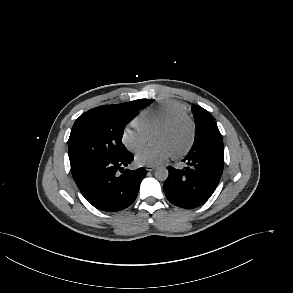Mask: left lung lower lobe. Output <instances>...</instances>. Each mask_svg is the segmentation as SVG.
I'll list each match as a JSON object with an SVG mask.
<instances>
[{
    "mask_svg": "<svg viewBox=\"0 0 293 293\" xmlns=\"http://www.w3.org/2000/svg\"><path fill=\"white\" fill-rule=\"evenodd\" d=\"M183 169L167 167L169 176L163 185L167 199L182 208L204 204L215 191L223 171V148L201 144L191 148L183 159Z\"/></svg>",
    "mask_w": 293,
    "mask_h": 293,
    "instance_id": "0a47b994",
    "label": "left lung lower lobe"
}]
</instances>
